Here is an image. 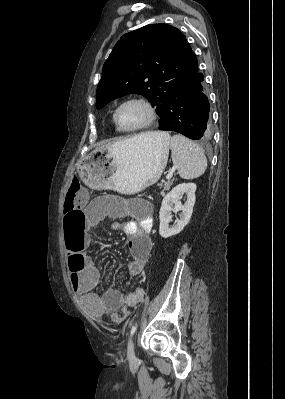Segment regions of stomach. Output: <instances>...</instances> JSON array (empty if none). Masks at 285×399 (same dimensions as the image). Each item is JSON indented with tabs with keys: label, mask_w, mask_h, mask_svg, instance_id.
Returning <instances> with one entry per match:
<instances>
[{
	"label": "stomach",
	"mask_w": 285,
	"mask_h": 399,
	"mask_svg": "<svg viewBox=\"0 0 285 399\" xmlns=\"http://www.w3.org/2000/svg\"><path fill=\"white\" fill-rule=\"evenodd\" d=\"M169 147L166 132H158L155 139L133 137L110 148L95 149L83 159L77 172L91 189L135 194L160 179Z\"/></svg>",
	"instance_id": "stomach-1"
}]
</instances>
